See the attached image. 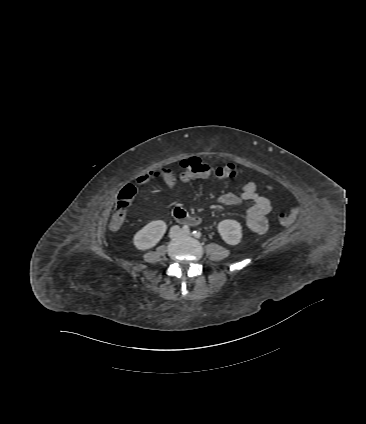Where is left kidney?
<instances>
[{
    "instance_id": "5707ae66",
    "label": "left kidney",
    "mask_w": 366,
    "mask_h": 424,
    "mask_svg": "<svg viewBox=\"0 0 366 424\" xmlns=\"http://www.w3.org/2000/svg\"><path fill=\"white\" fill-rule=\"evenodd\" d=\"M223 241L229 245H237L242 239V227L236 220H222L217 226Z\"/></svg>"
}]
</instances>
